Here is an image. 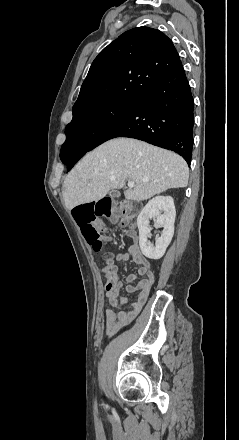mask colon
<instances>
[{"mask_svg":"<svg viewBox=\"0 0 239 440\" xmlns=\"http://www.w3.org/2000/svg\"><path fill=\"white\" fill-rule=\"evenodd\" d=\"M139 208L138 204L130 202L116 204L105 198L98 202L75 207L73 217L87 243L92 245L96 251H100L103 238L100 234L98 220L106 218L113 223L125 224L134 217ZM103 271L107 277H113L117 272V266L110 254L105 256Z\"/></svg>","mask_w":239,"mask_h":440,"instance_id":"5ec220e1","label":"colon"}]
</instances>
